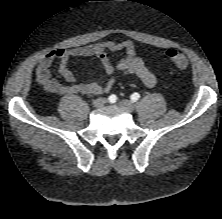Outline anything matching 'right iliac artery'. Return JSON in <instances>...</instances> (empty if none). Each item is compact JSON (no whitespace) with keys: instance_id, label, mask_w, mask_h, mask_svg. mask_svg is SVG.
Returning a JSON list of instances; mask_svg holds the SVG:
<instances>
[{"instance_id":"1","label":"right iliac artery","mask_w":222,"mask_h":219,"mask_svg":"<svg viewBox=\"0 0 222 219\" xmlns=\"http://www.w3.org/2000/svg\"><path fill=\"white\" fill-rule=\"evenodd\" d=\"M108 100L110 103H115L117 100V97H116V95H111V96H109Z\"/></svg>"}]
</instances>
